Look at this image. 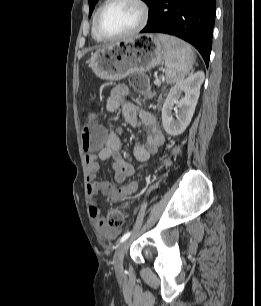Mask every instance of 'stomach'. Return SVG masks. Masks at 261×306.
<instances>
[{"mask_svg": "<svg viewBox=\"0 0 261 306\" xmlns=\"http://www.w3.org/2000/svg\"><path fill=\"white\" fill-rule=\"evenodd\" d=\"M163 52L157 35L139 34L91 53L88 64L97 77L118 81L159 66L164 59Z\"/></svg>", "mask_w": 261, "mask_h": 306, "instance_id": "stomach-1", "label": "stomach"}]
</instances>
